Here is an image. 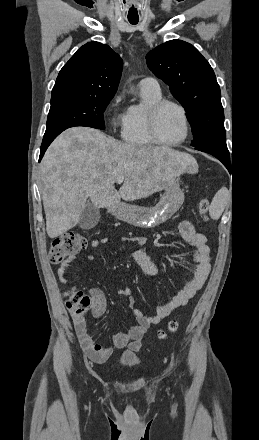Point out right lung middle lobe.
<instances>
[{"mask_svg": "<svg viewBox=\"0 0 259 440\" xmlns=\"http://www.w3.org/2000/svg\"><path fill=\"white\" fill-rule=\"evenodd\" d=\"M112 98L80 93L53 95L44 136L74 126L104 130L103 112Z\"/></svg>", "mask_w": 259, "mask_h": 440, "instance_id": "1", "label": "right lung middle lobe"}]
</instances>
